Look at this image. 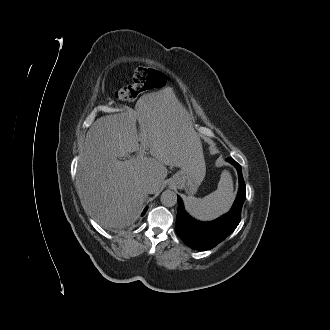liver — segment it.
<instances>
[{"instance_id":"1","label":"liver","mask_w":330,"mask_h":330,"mask_svg":"<svg viewBox=\"0 0 330 330\" xmlns=\"http://www.w3.org/2000/svg\"><path fill=\"white\" fill-rule=\"evenodd\" d=\"M137 151L129 160L117 159ZM200 151L185 108L167 97L142 96L135 110L100 117L88 130L76 179L82 205L104 228L128 227L148 196L146 181L153 179L158 192L166 166L181 168Z\"/></svg>"}]
</instances>
